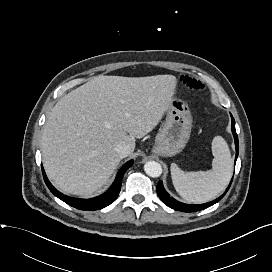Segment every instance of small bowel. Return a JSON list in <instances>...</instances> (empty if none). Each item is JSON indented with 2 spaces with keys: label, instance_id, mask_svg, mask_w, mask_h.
I'll list each match as a JSON object with an SVG mask.
<instances>
[{
  "label": "small bowel",
  "instance_id": "obj_1",
  "mask_svg": "<svg viewBox=\"0 0 272 272\" xmlns=\"http://www.w3.org/2000/svg\"><path fill=\"white\" fill-rule=\"evenodd\" d=\"M177 81L180 85L192 91L202 92L205 90V85L201 81L188 75L179 76Z\"/></svg>",
  "mask_w": 272,
  "mask_h": 272
}]
</instances>
